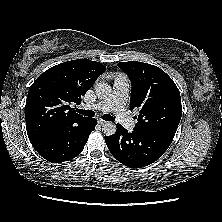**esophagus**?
I'll return each mask as SVG.
<instances>
[{
    "mask_svg": "<svg viewBox=\"0 0 222 222\" xmlns=\"http://www.w3.org/2000/svg\"><path fill=\"white\" fill-rule=\"evenodd\" d=\"M98 123L101 124V125H103V124L106 123V121H105V120H102V119H99V120H98Z\"/></svg>",
    "mask_w": 222,
    "mask_h": 222,
    "instance_id": "esophagus-1",
    "label": "esophagus"
}]
</instances>
